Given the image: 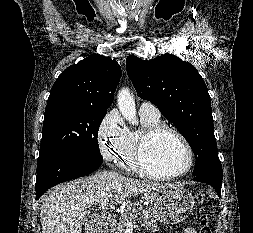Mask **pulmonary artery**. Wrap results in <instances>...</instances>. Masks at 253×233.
<instances>
[{"mask_svg": "<svg viewBox=\"0 0 253 233\" xmlns=\"http://www.w3.org/2000/svg\"><path fill=\"white\" fill-rule=\"evenodd\" d=\"M139 114L152 117H160V111L150 102H142L139 106Z\"/></svg>", "mask_w": 253, "mask_h": 233, "instance_id": "obj_1", "label": "pulmonary artery"}]
</instances>
